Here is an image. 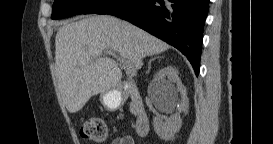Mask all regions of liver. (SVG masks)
I'll return each instance as SVG.
<instances>
[{
	"instance_id": "liver-1",
	"label": "liver",
	"mask_w": 273,
	"mask_h": 144,
	"mask_svg": "<svg viewBox=\"0 0 273 144\" xmlns=\"http://www.w3.org/2000/svg\"><path fill=\"white\" fill-rule=\"evenodd\" d=\"M169 48L166 42L113 16L64 23L55 38V70L68 112L80 111L92 96L119 86L122 72L117 62L103 53L118 52L140 69L143 58Z\"/></svg>"
}]
</instances>
